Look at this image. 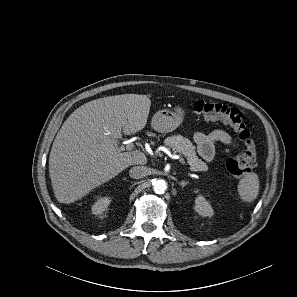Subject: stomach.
I'll use <instances>...</instances> for the list:
<instances>
[{"label":"stomach","instance_id":"0dacf381","mask_svg":"<svg viewBox=\"0 0 297 297\" xmlns=\"http://www.w3.org/2000/svg\"><path fill=\"white\" fill-rule=\"evenodd\" d=\"M184 110L180 106L175 107V111L160 110L152 118V128L160 133H168L175 130L183 121Z\"/></svg>","mask_w":297,"mask_h":297}]
</instances>
